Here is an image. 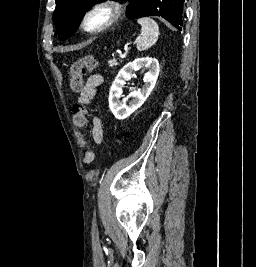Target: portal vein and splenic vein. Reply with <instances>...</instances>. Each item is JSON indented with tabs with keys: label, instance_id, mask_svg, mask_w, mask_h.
Segmentation results:
<instances>
[{
	"label": "portal vein and splenic vein",
	"instance_id": "18ae733b",
	"mask_svg": "<svg viewBox=\"0 0 256 267\" xmlns=\"http://www.w3.org/2000/svg\"><path fill=\"white\" fill-rule=\"evenodd\" d=\"M121 59H122V60H126V59H127V56H126V55H122V56H121Z\"/></svg>",
	"mask_w": 256,
	"mask_h": 267
}]
</instances>
